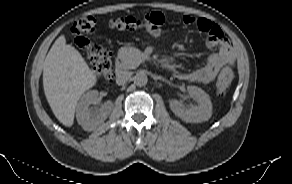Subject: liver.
<instances>
[{
    "instance_id": "6515ba94",
    "label": "liver",
    "mask_w": 292,
    "mask_h": 184,
    "mask_svg": "<svg viewBox=\"0 0 292 184\" xmlns=\"http://www.w3.org/2000/svg\"><path fill=\"white\" fill-rule=\"evenodd\" d=\"M96 75L63 35L49 50L43 64V87L55 117L65 126L74 122L81 95L96 83Z\"/></svg>"
}]
</instances>
